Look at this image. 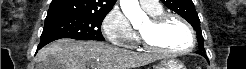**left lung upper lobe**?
Wrapping results in <instances>:
<instances>
[{
    "instance_id": "left-lung-upper-lobe-1",
    "label": "left lung upper lobe",
    "mask_w": 246,
    "mask_h": 69,
    "mask_svg": "<svg viewBox=\"0 0 246 69\" xmlns=\"http://www.w3.org/2000/svg\"><path fill=\"white\" fill-rule=\"evenodd\" d=\"M168 8L178 13L187 20L194 28L197 34L199 49L204 50L203 36L200 28V20L195 10L192 0H161Z\"/></svg>"
}]
</instances>
